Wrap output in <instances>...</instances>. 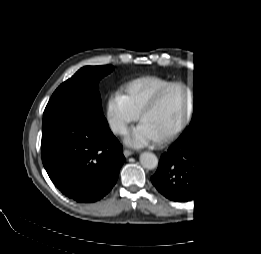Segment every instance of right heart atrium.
<instances>
[{
  "label": "right heart atrium",
  "instance_id": "d8ad5b80",
  "mask_svg": "<svg viewBox=\"0 0 261 254\" xmlns=\"http://www.w3.org/2000/svg\"><path fill=\"white\" fill-rule=\"evenodd\" d=\"M138 113L131 106L126 94L118 92L111 96L107 106V119L115 134H123L136 121Z\"/></svg>",
  "mask_w": 261,
  "mask_h": 254
}]
</instances>
